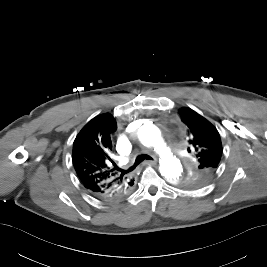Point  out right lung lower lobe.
Returning a JSON list of instances; mask_svg holds the SVG:
<instances>
[{"mask_svg":"<svg viewBox=\"0 0 267 267\" xmlns=\"http://www.w3.org/2000/svg\"><path fill=\"white\" fill-rule=\"evenodd\" d=\"M134 185V180L133 182H130V184H128L127 186L124 187V191H120L119 193L117 194H112L111 196H108V197H103V196H96L100 199H103V200H108V201H113V200H119V199H122L124 198L125 196H127L131 190H132V186Z\"/></svg>","mask_w":267,"mask_h":267,"instance_id":"right-lung-lower-lobe-1","label":"right lung lower lobe"}]
</instances>
